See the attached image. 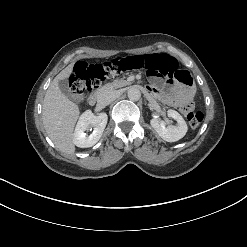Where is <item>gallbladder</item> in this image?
<instances>
[{
	"mask_svg": "<svg viewBox=\"0 0 247 247\" xmlns=\"http://www.w3.org/2000/svg\"><path fill=\"white\" fill-rule=\"evenodd\" d=\"M58 86L61 92L69 99L75 102H81L84 100V96L81 94H73L71 88L69 87V83L67 79H60L58 82Z\"/></svg>",
	"mask_w": 247,
	"mask_h": 247,
	"instance_id": "bac80fb5",
	"label": "gallbladder"
}]
</instances>
